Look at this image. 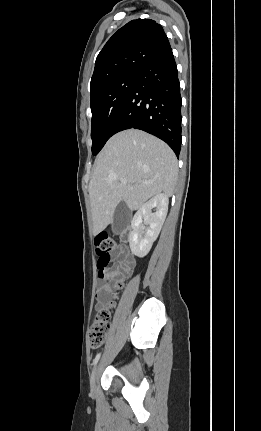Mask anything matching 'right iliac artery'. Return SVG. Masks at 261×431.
Instances as JSON below:
<instances>
[{
    "label": "right iliac artery",
    "instance_id": "1",
    "mask_svg": "<svg viewBox=\"0 0 261 431\" xmlns=\"http://www.w3.org/2000/svg\"><path fill=\"white\" fill-rule=\"evenodd\" d=\"M100 353L99 354H97L96 355V357L94 358V360H93V365H96L97 364V362H98V360H99V358H100Z\"/></svg>",
    "mask_w": 261,
    "mask_h": 431
}]
</instances>
